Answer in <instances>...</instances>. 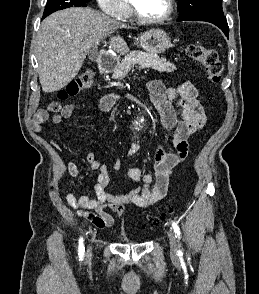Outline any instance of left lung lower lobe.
I'll return each mask as SVG.
<instances>
[{
  "instance_id": "0a47b994",
  "label": "left lung lower lobe",
  "mask_w": 259,
  "mask_h": 294,
  "mask_svg": "<svg viewBox=\"0 0 259 294\" xmlns=\"http://www.w3.org/2000/svg\"><path fill=\"white\" fill-rule=\"evenodd\" d=\"M178 21H205L210 22L216 26H218L226 35L229 37V27L225 17H213V16H196L186 19L178 18Z\"/></svg>"
}]
</instances>
